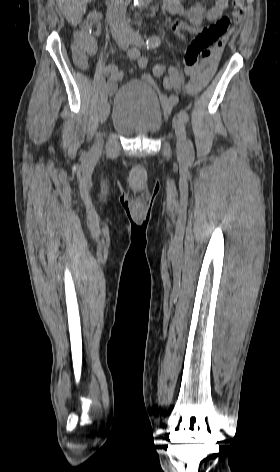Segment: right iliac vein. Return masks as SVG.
Masks as SVG:
<instances>
[{
  "label": "right iliac vein",
  "mask_w": 280,
  "mask_h": 472,
  "mask_svg": "<svg viewBox=\"0 0 280 472\" xmlns=\"http://www.w3.org/2000/svg\"><path fill=\"white\" fill-rule=\"evenodd\" d=\"M117 41H118L119 46L122 49H126L129 45V37L127 36H121L118 38ZM109 111H110V105L106 100L105 102L101 104L100 111H99V120L101 124H103L108 118ZM101 150H102V140L100 137H98L95 145L92 148L91 153L93 156H98L100 155Z\"/></svg>",
  "instance_id": "63e3f726"
}]
</instances>
